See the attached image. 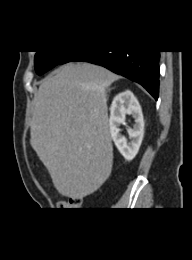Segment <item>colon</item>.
<instances>
[{"label":"colon","mask_w":192,"mask_h":260,"mask_svg":"<svg viewBox=\"0 0 192 260\" xmlns=\"http://www.w3.org/2000/svg\"><path fill=\"white\" fill-rule=\"evenodd\" d=\"M82 204V199L79 197H72L68 201H63L59 203V208H77Z\"/></svg>","instance_id":"5ec220e1"}]
</instances>
